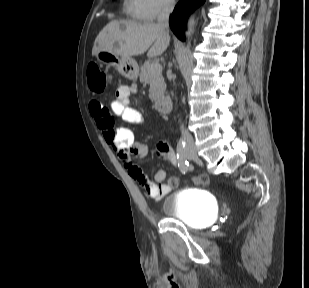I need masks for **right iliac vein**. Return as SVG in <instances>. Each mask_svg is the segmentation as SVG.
<instances>
[{
  "label": "right iliac vein",
  "instance_id": "1",
  "mask_svg": "<svg viewBox=\"0 0 309 288\" xmlns=\"http://www.w3.org/2000/svg\"><path fill=\"white\" fill-rule=\"evenodd\" d=\"M192 153H193V150H192V149H190V150L187 151V154H192Z\"/></svg>",
  "mask_w": 309,
  "mask_h": 288
}]
</instances>
